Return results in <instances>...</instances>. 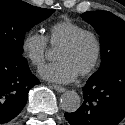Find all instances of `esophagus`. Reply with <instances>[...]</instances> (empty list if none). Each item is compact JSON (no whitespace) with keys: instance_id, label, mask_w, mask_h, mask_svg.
Segmentation results:
<instances>
[{"instance_id":"1","label":"esophagus","mask_w":125,"mask_h":125,"mask_svg":"<svg viewBox=\"0 0 125 125\" xmlns=\"http://www.w3.org/2000/svg\"><path fill=\"white\" fill-rule=\"evenodd\" d=\"M53 88L57 91V92H65L66 88L60 85H53Z\"/></svg>"}]
</instances>
